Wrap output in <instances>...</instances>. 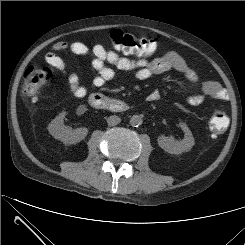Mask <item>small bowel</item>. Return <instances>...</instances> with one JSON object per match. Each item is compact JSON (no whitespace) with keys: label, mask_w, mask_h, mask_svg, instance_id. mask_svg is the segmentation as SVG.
<instances>
[{"label":"small bowel","mask_w":245,"mask_h":245,"mask_svg":"<svg viewBox=\"0 0 245 245\" xmlns=\"http://www.w3.org/2000/svg\"><path fill=\"white\" fill-rule=\"evenodd\" d=\"M59 51L78 56H90L91 65L97 71V75L90 84L93 88H100L111 81L115 75L114 69L130 72L133 79L139 82L147 81L155 75L174 70L182 74L190 83L199 87L197 93L187 97L189 105L198 106L205 101L226 99V92L221 85L214 81L200 82L197 73L177 52L166 51L154 60H135L120 56L115 51L100 44L89 47L81 42H57L52 46V51L45 55V61L57 70L62 78L66 79L69 92L77 98L86 97L90 86L81 84L78 75L68 71L65 59L56 54ZM156 99V93L153 92L149 95V100Z\"/></svg>","instance_id":"c3829d8e"}]
</instances>
